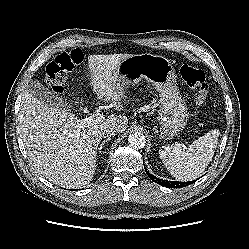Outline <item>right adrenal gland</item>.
<instances>
[{
	"label": "right adrenal gland",
	"mask_w": 249,
	"mask_h": 249,
	"mask_svg": "<svg viewBox=\"0 0 249 249\" xmlns=\"http://www.w3.org/2000/svg\"><path fill=\"white\" fill-rule=\"evenodd\" d=\"M110 140V138H106L102 141V143L100 144V147L98 148V152L101 153L102 149L104 148V144L105 142H108Z\"/></svg>",
	"instance_id": "2a0ac1e0"
}]
</instances>
